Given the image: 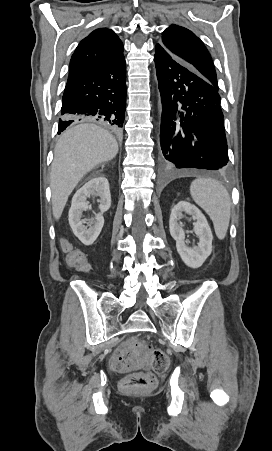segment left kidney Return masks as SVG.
<instances>
[{
	"label": "left kidney",
	"instance_id": "left-kidney-1",
	"mask_svg": "<svg viewBox=\"0 0 272 451\" xmlns=\"http://www.w3.org/2000/svg\"><path fill=\"white\" fill-rule=\"evenodd\" d=\"M183 212L197 220L194 224V231L199 237V243L193 247L186 245L184 229L179 224V220L183 218ZM169 227L172 237L176 239L177 251L184 263L189 267H200L212 251L213 239L210 226L202 212L189 202H178L171 210Z\"/></svg>",
	"mask_w": 272,
	"mask_h": 451
}]
</instances>
